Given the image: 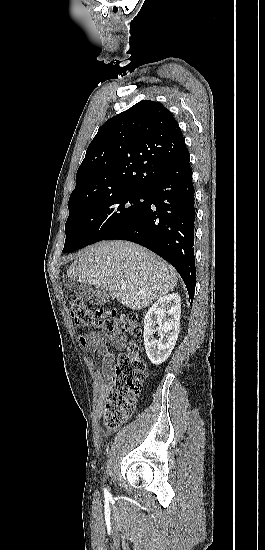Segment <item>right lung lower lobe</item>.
I'll return each mask as SVG.
<instances>
[{"label": "right lung lower lobe", "instance_id": "right-lung-lower-lobe-1", "mask_svg": "<svg viewBox=\"0 0 265 550\" xmlns=\"http://www.w3.org/2000/svg\"><path fill=\"white\" fill-rule=\"evenodd\" d=\"M195 211L192 170L185 150L152 181L145 209L104 240L132 241L167 260L184 280L192 303L196 283Z\"/></svg>", "mask_w": 265, "mask_h": 550}]
</instances>
